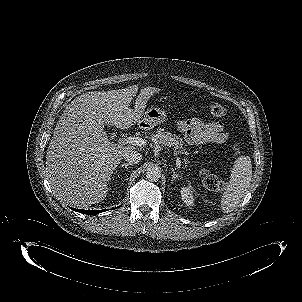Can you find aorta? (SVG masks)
I'll return each mask as SVG.
<instances>
[{
  "label": "aorta",
  "mask_w": 302,
  "mask_h": 302,
  "mask_svg": "<svg viewBox=\"0 0 302 302\" xmlns=\"http://www.w3.org/2000/svg\"><path fill=\"white\" fill-rule=\"evenodd\" d=\"M161 177V171L158 167L150 166L146 170V178L149 181H157Z\"/></svg>",
  "instance_id": "obj_1"
}]
</instances>
